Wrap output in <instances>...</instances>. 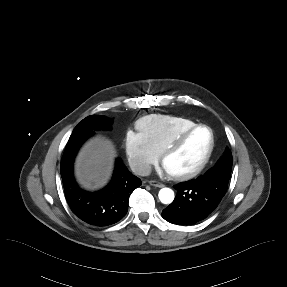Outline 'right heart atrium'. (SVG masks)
Here are the masks:
<instances>
[{
  "instance_id": "1",
  "label": "right heart atrium",
  "mask_w": 287,
  "mask_h": 287,
  "mask_svg": "<svg viewBox=\"0 0 287 287\" xmlns=\"http://www.w3.org/2000/svg\"><path fill=\"white\" fill-rule=\"evenodd\" d=\"M124 145L130 165L139 174H147L159 159V152L140 132H127Z\"/></svg>"
}]
</instances>
